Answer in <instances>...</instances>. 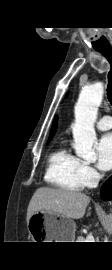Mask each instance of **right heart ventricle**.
Segmentation results:
<instances>
[{"label":"right heart ventricle","instance_id":"1","mask_svg":"<svg viewBox=\"0 0 112 270\" xmlns=\"http://www.w3.org/2000/svg\"><path fill=\"white\" fill-rule=\"evenodd\" d=\"M81 160L64 145L57 147L48 158L45 180L62 190L78 192L84 187L80 175Z\"/></svg>","mask_w":112,"mask_h":270}]
</instances>
